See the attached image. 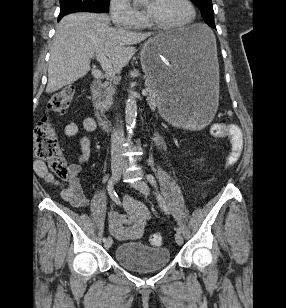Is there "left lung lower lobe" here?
<instances>
[{
    "label": "left lung lower lobe",
    "mask_w": 286,
    "mask_h": 308,
    "mask_svg": "<svg viewBox=\"0 0 286 308\" xmlns=\"http://www.w3.org/2000/svg\"><path fill=\"white\" fill-rule=\"evenodd\" d=\"M211 27L216 28V27H215V24H214V25H211Z\"/></svg>",
    "instance_id": "1"
}]
</instances>
